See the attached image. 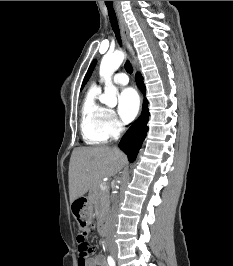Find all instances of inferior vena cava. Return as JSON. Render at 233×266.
<instances>
[{
    "label": "inferior vena cava",
    "instance_id": "1",
    "mask_svg": "<svg viewBox=\"0 0 233 266\" xmlns=\"http://www.w3.org/2000/svg\"><path fill=\"white\" fill-rule=\"evenodd\" d=\"M124 128H122L123 130ZM117 203L116 205L113 207V212H112V215H111V218H110V221H109V238L111 240L112 238V235L115 231V226H116V221H117ZM112 243V242H111Z\"/></svg>",
    "mask_w": 233,
    "mask_h": 266
}]
</instances>
